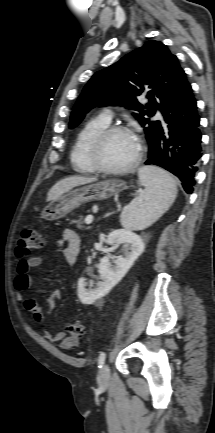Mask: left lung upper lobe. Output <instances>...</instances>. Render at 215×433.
Masks as SVG:
<instances>
[{
    "label": "left lung upper lobe",
    "mask_w": 215,
    "mask_h": 433,
    "mask_svg": "<svg viewBox=\"0 0 215 433\" xmlns=\"http://www.w3.org/2000/svg\"><path fill=\"white\" fill-rule=\"evenodd\" d=\"M185 78L177 57L163 43L151 40L93 75L74 106L69 128L76 127L85 113L96 105H125L140 112L134 116L145 126L150 150L162 127L160 121H150L143 116H153L156 111L153 106L163 112ZM142 94L149 99L145 111L137 101Z\"/></svg>",
    "instance_id": "5c2ea615"
}]
</instances>
